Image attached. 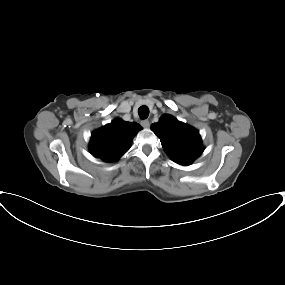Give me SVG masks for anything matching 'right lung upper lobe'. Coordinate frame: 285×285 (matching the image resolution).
<instances>
[{"instance_id": "right-lung-upper-lobe-1", "label": "right lung upper lobe", "mask_w": 285, "mask_h": 285, "mask_svg": "<svg viewBox=\"0 0 285 285\" xmlns=\"http://www.w3.org/2000/svg\"><path fill=\"white\" fill-rule=\"evenodd\" d=\"M141 129L138 123L115 119L92 133L90 153L105 162H114L130 148L133 137Z\"/></svg>"}]
</instances>
